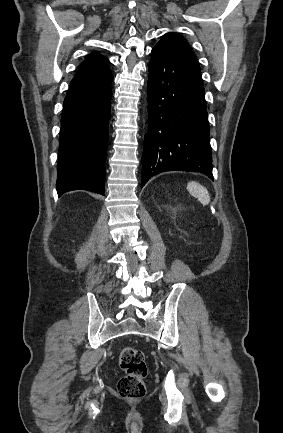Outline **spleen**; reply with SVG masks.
<instances>
[{"label":"spleen","mask_w":283,"mask_h":433,"mask_svg":"<svg viewBox=\"0 0 283 433\" xmlns=\"http://www.w3.org/2000/svg\"><path fill=\"white\" fill-rule=\"evenodd\" d=\"M187 188L192 196L200 200L201 204H209L210 196L205 186H202L199 182H195V180H191V182H188Z\"/></svg>","instance_id":"1"}]
</instances>
